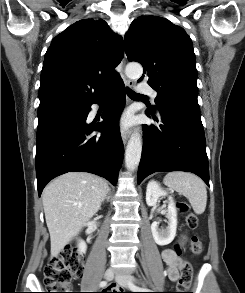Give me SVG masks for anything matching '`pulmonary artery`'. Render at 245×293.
<instances>
[{"label":"pulmonary artery","mask_w":245,"mask_h":293,"mask_svg":"<svg viewBox=\"0 0 245 293\" xmlns=\"http://www.w3.org/2000/svg\"><path fill=\"white\" fill-rule=\"evenodd\" d=\"M139 91H140V93H142L143 95H145V94H149V95H151L153 98H155L156 95H157V93H156L155 90L146 88L144 84H140V86H139Z\"/></svg>","instance_id":"pulmonary-artery-1"}]
</instances>
